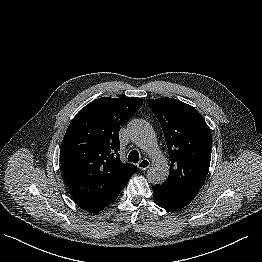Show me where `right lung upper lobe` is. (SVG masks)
I'll return each instance as SVG.
<instances>
[{
	"instance_id": "right-lung-upper-lobe-1",
	"label": "right lung upper lobe",
	"mask_w": 262,
	"mask_h": 262,
	"mask_svg": "<svg viewBox=\"0 0 262 262\" xmlns=\"http://www.w3.org/2000/svg\"><path fill=\"white\" fill-rule=\"evenodd\" d=\"M141 98L102 97L82 108L71 121L60 149L68 190L84 210L114 201L138 171L120 161L119 130L141 108Z\"/></svg>"
}]
</instances>
